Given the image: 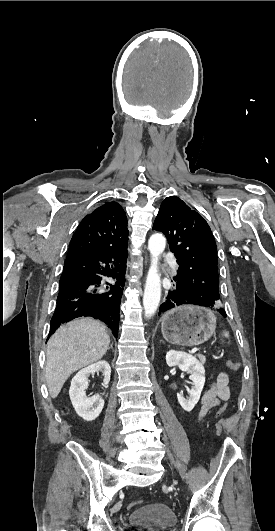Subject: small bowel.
Returning <instances> with one entry per match:
<instances>
[{
	"label": "small bowel",
	"instance_id": "c3829d8e",
	"mask_svg": "<svg viewBox=\"0 0 275 531\" xmlns=\"http://www.w3.org/2000/svg\"><path fill=\"white\" fill-rule=\"evenodd\" d=\"M231 397L229 376L225 372L217 374L203 394L197 419L202 420L221 401H227Z\"/></svg>",
	"mask_w": 275,
	"mask_h": 531
}]
</instances>
